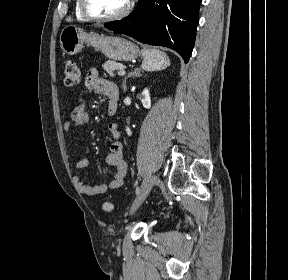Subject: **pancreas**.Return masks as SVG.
<instances>
[{
	"label": "pancreas",
	"mask_w": 288,
	"mask_h": 280,
	"mask_svg": "<svg viewBox=\"0 0 288 280\" xmlns=\"http://www.w3.org/2000/svg\"><path fill=\"white\" fill-rule=\"evenodd\" d=\"M102 67L110 76L113 77L115 75L114 72L123 68L124 66L121 63L108 60L102 65Z\"/></svg>",
	"instance_id": "1"
}]
</instances>
